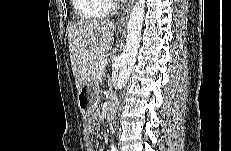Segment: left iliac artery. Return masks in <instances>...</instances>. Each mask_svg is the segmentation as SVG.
<instances>
[{
    "mask_svg": "<svg viewBox=\"0 0 231 151\" xmlns=\"http://www.w3.org/2000/svg\"><path fill=\"white\" fill-rule=\"evenodd\" d=\"M111 150H112V151H116L117 149H116V147H115L114 145H112V146H111Z\"/></svg>",
    "mask_w": 231,
    "mask_h": 151,
    "instance_id": "44dca946",
    "label": "left iliac artery"
}]
</instances>
